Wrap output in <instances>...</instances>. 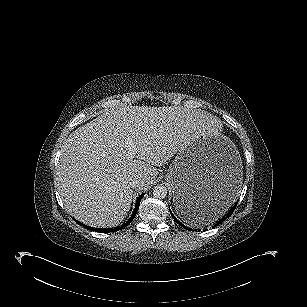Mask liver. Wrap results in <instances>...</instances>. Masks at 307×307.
Returning <instances> with one entry per match:
<instances>
[{"label":"liver","instance_id":"liver-1","mask_svg":"<svg viewBox=\"0 0 307 307\" xmlns=\"http://www.w3.org/2000/svg\"><path fill=\"white\" fill-rule=\"evenodd\" d=\"M204 111L179 107L110 109L72 132L61 148L57 185L66 210L80 222L108 228L127 216L133 190H148L158 168L197 136L218 134Z\"/></svg>","mask_w":307,"mask_h":307}]
</instances>
